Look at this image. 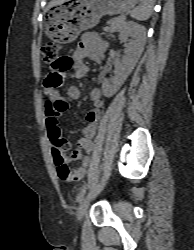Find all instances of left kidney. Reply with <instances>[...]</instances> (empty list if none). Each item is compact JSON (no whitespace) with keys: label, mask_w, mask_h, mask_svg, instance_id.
<instances>
[{"label":"left kidney","mask_w":194,"mask_h":250,"mask_svg":"<svg viewBox=\"0 0 194 250\" xmlns=\"http://www.w3.org/2000/svg\"><path fill=\"white\" fill-rule=\"evenodd\" d=\"M129 38H132V40L127 45L125 59L116 69V76L112 80L111 87L113 93L124 83L141 57L146 42L145 27L133 21L127 22L120 32L119 40L121 42H127ZM106 86H108V84H106Z\"/></svg>","instance_id":"left-kidney-1"}]
</instances>
